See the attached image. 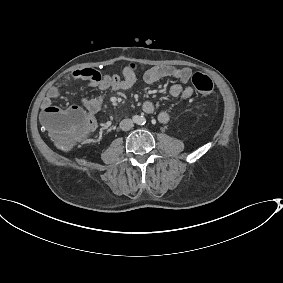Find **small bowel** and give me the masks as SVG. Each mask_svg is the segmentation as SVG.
<instances>
[{"label":"small bowel","mask_w":283,"mask_h":283,"mask_svg":"<svg viewBox=\"0 0 283 283\" xmlns=\"http://www.w3.org/2000/svg\"><path fill=\"white\" fill-rule=\"evenodd\" d=\"M71 78L82 82L84 85L98 91V95L82 98L81 103L87 110L89 116H93L100 111L108 92L124 91L130 89L135 81L136 75L131 67H126L123 70V77L117 74L103 75L92 68L77 69L71 73ZM164 78H173L179 83L173 84L170 87L169 94L171 97H181L188 99L193 95V89L186 84L191 78V70L188 68H176L169 65H159L149 68L144 73V81L153 85ZM60 96V91L57 87H51L42 103L43 112L48 108H53V102ZM142 109L147 114H152L155 111V104L147 100L143 103ZM158 121L162 124H167L171 116L167 111L158 113Z\"/></svg>","instance_id":"c3829d8e"}]
</instances>
